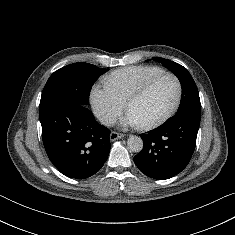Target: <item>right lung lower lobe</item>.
Returning a JSON list of instances; mask_svg holds the SVG:
<instances>
[{
  "instance_id": "1",
  "label": "right lung lower lobe",
  "mask_w": 235,
  "mask_h": 235,
  "mask_svg": "<svg viewBox=\"0 0 235 235\" xmlns=\"http://www.w3.org/2000/svg\"><path fill=\"white\" fill-rule=\"evenodd\" d=\"M39 117L46 153L62 174L85 179L103 166L111 147L110 130L86 106L58 101L39 111Z\"/></svg>"
}]
</instances>
